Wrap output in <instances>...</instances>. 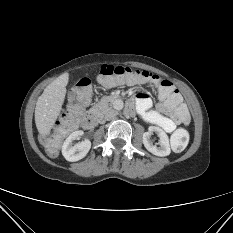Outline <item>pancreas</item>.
<instances>
[{
	"label": "pancreas",
	"instance_id": "1",
	"mask_svg": "<svg viewBox=\"0 0 233 233\" xmlns=\"http://www.w3.org/2000/svg\"><path fill=\"white\" fill-rule=\"evenodd\" d=\"M115 96H104L90 108L89 113L92 115H103L108 109Z\"/></svg>",
	"mask_w": 233,
	"mask_h": 233
}]
</instances>
